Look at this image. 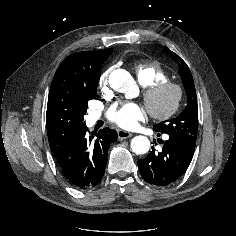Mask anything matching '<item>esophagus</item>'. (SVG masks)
I'll list each match as a JSON object with an SVG mask.
<instances>
[{
    "mask_svg": "<svg viewBox=\"0 0 236 236\" xmlns=\"http://www.w3.org/2000/svg\"><path fill=\"white\" fill-rule=\"evenodd\" d=\"M117 134H118L119 140H124V139L130 138L132 136V134L130 132H127V131L121 130V129H119L117 131Z\"/></svg>",
    "mask_w": 236,
    "mask_h": 236,
    "instance_id": "1",
    "label": "esophagus"
}]
</instances>
